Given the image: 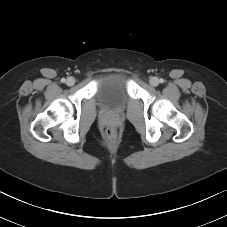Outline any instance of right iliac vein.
Returning <instances> with one entry per match:
<instances>
[{
  "mask_svg": "<svg viewBox=\"0 0 227 227\" xmlns=\"http://www.w3.org/2000/svg\"><path fill=\"white\" fill-rule=\"evenodd\" d=\"M66 84L68 86H73L75 84V78L74 77H68L66 80Z\"/></svg>",
  "mask_w": 227,
  "mask_h": 227,
  "instance_id": "1",
  "label": "right iliac vein"
}]
</instances>
